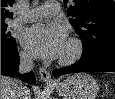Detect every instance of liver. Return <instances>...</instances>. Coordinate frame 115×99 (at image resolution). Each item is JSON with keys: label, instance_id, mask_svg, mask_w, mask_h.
Returning a JSON list of instances; mask_svg holds the SVG:
<instances>
[{"label": "liver", "instance_id": "obj_1", "mask_svg": "<svg viewBox=\"0 0 115 99\" xmlns=\"http://www.w3.org/2000/svg\"><path fill=\"white\" fill-rule=\"evenodd\" d=\"M17 87L18 84L14 79L1 76V99H14ZM23 97V99H30V91L28 89Z\"/></svg>", "mask_w": 115, "mask_h": 99}]
</instances>
